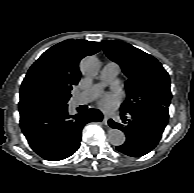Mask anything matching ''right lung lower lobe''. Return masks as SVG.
<instances>
[{
  "label": "right lung lower lobe",
  "mask_w": 194,
  "mask_h": 193,
  "mask_svg": "<svg viewBox=\"0 0 194 193\" xmlns=\"http://www.w3.org/2000/svg\"><path fill=\"white\" fill-rule=\"evenodd\" d=\"M102 117L97 109L69 115L66 106L20 113V125L30 147L39 156L58 161L77 151L84 125L99 122Z\"/></svg>",
  "instance_id": "right-lung-lower-lobe-1"
}]
</instances>
